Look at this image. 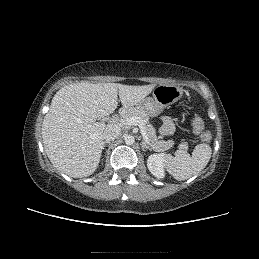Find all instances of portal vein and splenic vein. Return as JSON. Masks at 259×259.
Returning a JSON list of instances; mask_svg holds the SVG:
<instances>
[{
    "instance_id": "1",
    "label": "portal vein and splenic vein",
    "mask_w": 259,
    "mask_h": 259,
    "mask_svg": "<svg viewBox=\"0 0 259 259\" xmlns=\"http://www.w3.org/2000/svg\"><path fill=\"white\" fill-rule=\"evenodd\" d=\"M122 123L129 126H139L140 132L144 140L148 142L145 123L140 118L133 116V117L127 118L126 120H122Z\"/></svg>"
}]
</instances>
